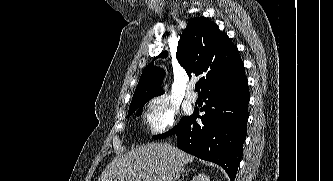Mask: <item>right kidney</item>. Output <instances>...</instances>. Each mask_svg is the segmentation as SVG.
<instances>
[{
    "instance_id": "ca27d5eb",
    "label": "right kidney",
    "mask_w": 333,
    "mask_h": 181,
    "mask_svg": "<svg viewBox=\"0 0 333 181\" xmlns=\"http://www.w3.org/2000/svg\"><path fill=\"white\" fill-rule=\"evenodd\" d=\"M191 181H210L209 176L205 174H198L197 176L193 177Z\"/></svg>"
}]
</instances>
